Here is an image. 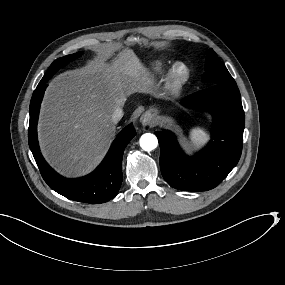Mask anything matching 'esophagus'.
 Wrapping results in <instances>:
<instances>
[{
  "instance_id": "esophagus-1",
  "label": "esophagus",
  "mask_w": 285,
  "mask_h": 285,
  "mask_svg": "<svg viewBox=\"0 0 285 285\" xmlns=\"http://www.w3.org/2000/svg\"><path fill=\"white\" fill-rule=\"evenodd\" d=\"M140 120L144 126H147V125L154 126L155 125L152 114L149 112L144 113L141 116Z\"/></svg>"
}]
</instances>
